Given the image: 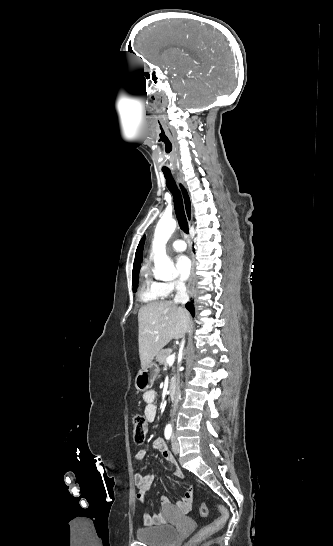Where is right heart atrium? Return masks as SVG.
Returning <instances> with one entry per match:
<instances>
[{
    "mask_svg": "<svg viewBox=\"0 0 333 546\" xmlns=\"http://www.w3.org/2000/svg\"><path fill=\"white\" fill-rule=\"evenodd\" d=\"M183 283L180 281H167L160 283V290L164 296H170L175 291L183 288Z\"/></svg>",
    "mask_w": 333,
    "mask_h": 546,
    "instance_id": "1",
    "label": "right heart atrium"
}]
</instances>
